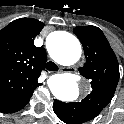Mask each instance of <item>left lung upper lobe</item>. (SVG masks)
<instances>
[{
    "instance_id": "5c2ea615",
    "label": "left lung upper lobe",
    "mask_w": 124,
    "mask_h": 124,
    "mask_svg": "<svg viewBox=\"0 0 124 124\" xmlns=\"http://www.w3.org/2000/svg\"><path fill=\"white\" fill-rule=\"evenodd\" d=\"M73 32L83 45L86 63L80 74L91 83V93L79 102L57 100L60 119L66 124H83L94 119L112 100L118 81L119 65L101 29L78 26Z\"/></svg>"
}]
</instances>
